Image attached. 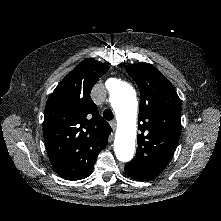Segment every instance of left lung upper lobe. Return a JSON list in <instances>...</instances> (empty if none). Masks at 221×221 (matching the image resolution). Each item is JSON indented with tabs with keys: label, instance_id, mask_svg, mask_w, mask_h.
<instances>
[{
	"label": "left lung upper lobe",
	"instance_id": "obj_1",
	"mask_svg": "<svg viewBox=\"0 0 221 221\" xmlns=\"http://www.w3.org/2000/svg\"><path fill=\"white\" fill-rule=\"evenodd\" d=\"M141 103L137 151L125 169L139 175H159L171 160L181 134V101L172 84L154 66L128 65Z\"/></svg>",
	"mask_w": 221,
	"mask_h": 221
}]
</instances>
